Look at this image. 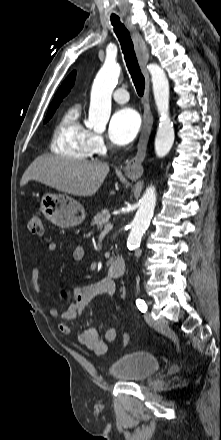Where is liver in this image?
<instances>
[{
  "mask_svg": "<svg viewBox=\"0 0 221 440\" xmlns=\"http://www.w3.org/2000/svg\"><path fill=\"white\" fill-rule=\"evenodd\" d=\"M109 170V165L101 161L42 155L24 172L20 185L24 186L34 180L64 193L89 197L101 187Z\"/></svg>",
  "mask_w": 221,
  "mask_h": 440,
  "instance_id": "1",
  "label": "liver"
}]
</instances>
